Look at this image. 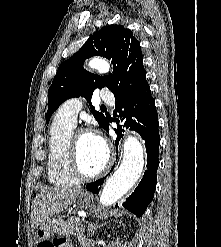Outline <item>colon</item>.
<instances>
[{"mask_svg":"<svg viewBox=\"0 0 221 247\" xmlns=\"http://www.w3.org/2000/svg\"><path fill=\"white\" fill-rule=\"evenodd\" d=\"M61 241L59 240H54L52 242L50 241H45L41 242L38 244V247H56Z\"/></svg>","mask_w":221,"mask_h":247,"instance_id":"5ec220e1","label":"colon"}]
</instances>
